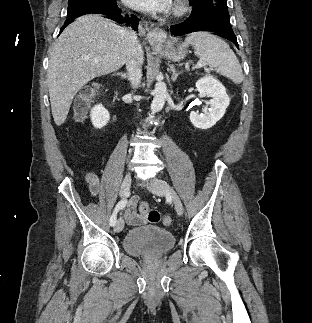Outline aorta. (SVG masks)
I'll return each instance as SVG.
<instances>
[{
  "label": "aorta",
  "mask_w": 312,
  "mask_h": 323,
  "mask_svg": "<svg viewBox=\"0 0 312 323\" xmlns=\"http://www.w3.org/2000/svg\"><path fill=\"white\" fill-rule=\"evenodd\" d=\"M167 86L164 82H157L155 84L154 98L151 104V112H160L165 106V100L168 98Z\"/></svg>",
  "instance_id": "1"
}]
</instances>
